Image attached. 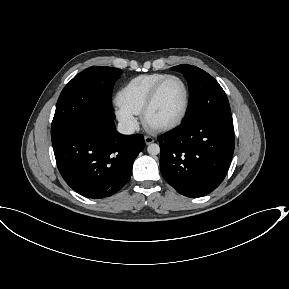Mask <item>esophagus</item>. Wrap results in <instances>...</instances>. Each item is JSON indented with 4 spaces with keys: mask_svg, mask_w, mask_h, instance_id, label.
<instances>
[{
    "mask_svg": "<svg viewBox=\"0 0 289 289\" xmlns=\"http://www.w3.org/2000/svg\"><path fill=\"white\" fill-rule=\"evenodd\" d=\"M144 141H145V143H146L147 145H149V144H151V143L154 142V139H153L152 137H150V136H145V137H144Z\"/></svg>",
    "mask_w": 289,
    "mask_h": 289,
    "instance_id": "1",
    "label": "esophagus"
}]
</instances>
